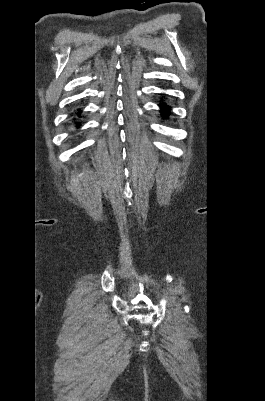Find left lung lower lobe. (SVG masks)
<instances>
[{
	"mask_svg": "<svg viewBox=\"0 0 265 401\" xmlns=\"http://www.w3.org/2000/svg\"><path fill=\"white\" fill-rule=\"evenodd\" d=\"M160 106L164 109V111L162 113L166 116L168 114V111H166V110H168V107L164 104H161Z\"/></svg>",
	"mask_w": 265,
	"mask_h": 401,
	"instance_id": "0a47b994",
	"label": "left lung lower lobe"
}]
</instances>
